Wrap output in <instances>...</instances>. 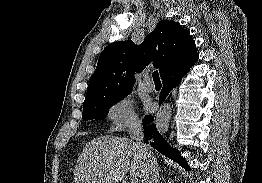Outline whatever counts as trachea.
<instances>
[{
	"instance_id": "1",
	"label": "trachea",
	"mask_w": 262,
	"mask_h": 183,
	"mask_svg": "<svg viewBox=\"0 0 262 183\" xmlns=\"http://www.w3.org/2000/svg\"><path fill=\"white\" fill-rule=\"evenodd\" d=\"M152 76H153V81L154 82H161L160 81V77H159V73H158L157 70L153 72Z\"/></svg>"
}]
</instances>
